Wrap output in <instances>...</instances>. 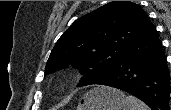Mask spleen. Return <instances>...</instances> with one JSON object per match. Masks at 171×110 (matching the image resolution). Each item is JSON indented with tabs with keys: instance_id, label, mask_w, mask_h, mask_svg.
Segmentation results:
<instances>
[{
	"instance_id": "obj_1",
	"label": "spleen",
	"mask_w": 171,
	"mask_h": 110,
	"mask_svg": "<svg viewBox=\"0 0 171 110\" xmlns=\"http://www.w3.org/2000/svg\"><path fill=\"white\" fill-rule=\"evenodd\" d=\"M129 110H149L148 106L134 96H127Z\"/></svg>"
}]
</instances>
